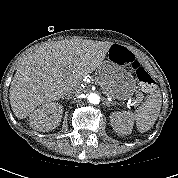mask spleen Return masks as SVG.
Returning <instances> with one entry per match:
<instances>
[{
  "instance_id": "1",
  "label": "spleen",
  "mask_w": 178,
  "mask_h": 178,
  "mask_svg": "<svg viewBox=\"0 0 178 178\" xmlns=\"http://www.w3.org/2000/svg\"><path fill=\"white\" fill-rule=\"evenodd\" d=\"M156 88L151 89L150 95H148L143 105L130 114L131 118L136 122L137 130L141 133L153 127L160 114L162 98L160 90Z\"/></svg>"
}]
</instances>
